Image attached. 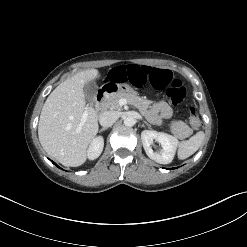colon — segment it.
Listing matches in <instances>:
<instances>
[{
	"label": "colon",
	"instance_id": "1",
	"mask_svg": "<svg viewBox=\"0 0 247 247\" xmlns=\"http://www.w3.org/2000/svg\"><path fill=\"white\" fill-rule=\"evenodd\" d=\"M109 79L114 84L124 86L143 85L153 86L156 89H166V95L173 104L181 103L187 94L185 85L178 79H174L173 73L166 69H157L149 65H136L135 63L114 64L109 69ZM189 123L195 130L201 127L196 108L189 112Z\"/></svg>",
	"mask_w": 247,
	"mask_h": 247
}]
</instances>
